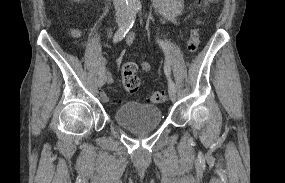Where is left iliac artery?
<instances>
[{
    "label": "left iliac artery",
    "mask_w": 285,
    "mask_h": 183,
    "mask_svg": "<svg viewBox=\"0 0 285 183\" xmlns=\"http://www.w3.org/2000/svg\"><path fill=\"white\" fill-rule=\"evenodd\" d=\"M138 10H141V9L138 8ZM157 42H158L159 46L167 54L166 62H165V65H164V72H165V74H166V76L168 78V87L176 90V86H175L174 82L172 81V79L170 78L171 68H170V63H169V58H168V46H167V43L164 42L163 40H158Z\"/></svg>",
    "instance_id": "left-iliac-artery-1"
}]
</instances>
